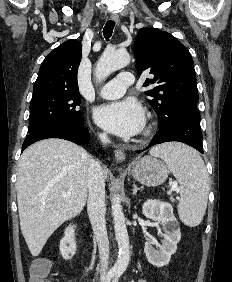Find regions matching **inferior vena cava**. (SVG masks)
I'll list each match as a JSON object with an SVG mask.
<instances>
[{
  "label": "inferior vena cava",
  "instance_id": "inferior-vena-cava-1",
  "mask_svg": "<svg viewBox=\"0 0 232 282\" xmlns=\"http://www.w3.org/2000/svg\"><path fill=\"white\" fill-rule=\"evenodd\" d=\"M100 139L104 144L110 142L105 133L100 134ZM87 187V211L98 244L100 255V276L101 279H105L109 263V241L105 220V183L102 167L98 161L93 159L89 161L88 165Z\"/></svg>",
  "mask_w": 232,
  "mask_h": 282
}]
</instances>
